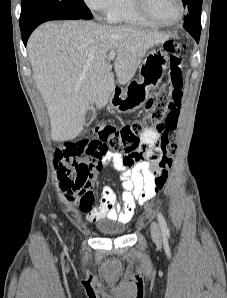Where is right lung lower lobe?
I'll return each mask as SVG.
<instances>
[{
	"mask_svg": "<svg viewBox=\"0 0 227 298\" xmlns=\"http://www.w3.org/2000/svg\"><path fill=\"white\" fill-rule=\"evenodd\" d=\"M62 19H81V18L68 17V16H59V15H52V16L41 17V18L33 21L32 23H30L26 27H24V28L21 29V36H22V40H23L24 45L26 46L27 40H28L30 34L32 33V31L38 25H40L43 22L49 21V20H62Z\"/></svg>",
	"mask_w": 227,
	"mask_h": 298,
	"instance_id": "obj_1",
	"label": "right lung lower lobe"
}]
</instances>
